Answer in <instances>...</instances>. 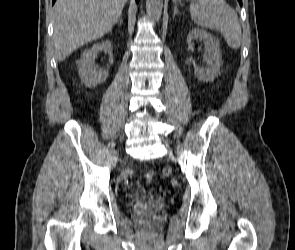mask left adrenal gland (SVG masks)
<instances>
[{"label":"left adrenal gland","instance_id":"a2214340","mask_svg":"<svg viewBox=\"0 0 295 250\" xmlns=\"http://www.w3.org/2000/svg\"><path fill=\"white\" fill-rule=\"evenodd\" d=\"M179 13L177 7H174L173 17H175Z\"/></svg>","mask_w":295,"mask_h":250}]
</instances>
